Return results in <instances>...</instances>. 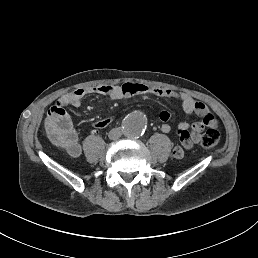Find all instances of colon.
Wrapping results in <instances>:
<instances>
[{
    "instance_id": "1",
    "label": "colon",
    "mask_w": 258,
    "mask_h": 258,
    "mask_svg": "<svg viewBox=\"0 0 258 258\" xmlns=\"http://www.w3.org/2000/svg\"><path fill=\"white\" fill-rule=\"evenodd\" d=\"M220 139L218 130L214 127L209 128L204 132L201 138V146L205 149L214 148Z\"/></svg>"
}]
</instances>
